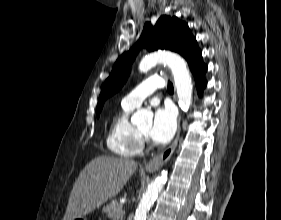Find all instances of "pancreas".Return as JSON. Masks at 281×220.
<instances>
[{"label": "pancreas", "instance_id": "1", "mask_svg": "<svg viewBox=\"0 0 281 220\" xmlns=\"http://www.w3.org/2000/svg\"><path fill=\"white\" fill-rule=\"evenodd\" d=\"M122 211V205L117 200H112L109 204L104 207L103 212L111 220H123V214L118 216V213Z\"/></svg>", "mask_w": 281, "mask_h": 220}]
</instances>
